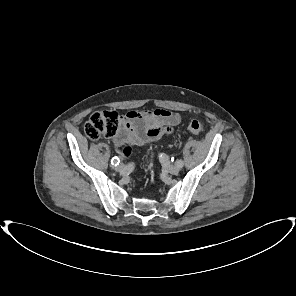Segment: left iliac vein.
Segmentation results:
<instances>
[{"mask_svg":"<svg viewBox=\"0 0 296 296\" xmlns=\"http://www.w3.org/2000/svg\"><path fill=\"white\" fill-rule=\"evenodd\" d=\"M181 167L176 165L167 166V171L171 174H177L180 171Z\"/></svg>","mask_w":296,"mask_h":296,"instance_id":"left-iliac-vein-1","label":"left iliac vein"}]
</instances>
